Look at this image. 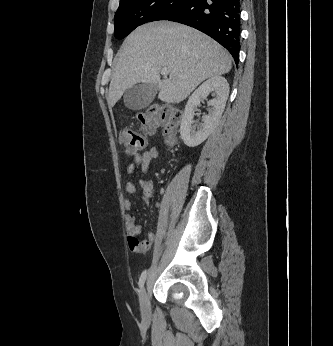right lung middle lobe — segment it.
<instances>
[{
    "mask_svg": "<svg viewBox=\"0 0 333 346\" xmlns=\"http://www.w3.org/2000/svg\"><path fill=\"white\" fill-rule=\"evenodd\" d=\"M184 0H120L114 35L121 40L147 22L166 20Z\"/></svg>",
    "mask_w": 333,
    "mask_h": 346,
    "instance_id": "obj_1",
    "label": "right lung middle lobe"
}]
</instances>
